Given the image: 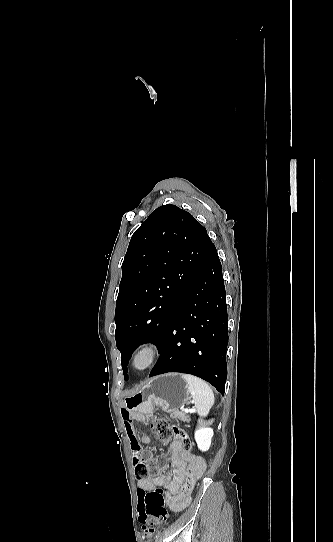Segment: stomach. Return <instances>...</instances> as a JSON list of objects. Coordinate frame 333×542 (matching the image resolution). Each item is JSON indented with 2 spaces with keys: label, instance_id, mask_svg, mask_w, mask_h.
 Segmentation results:
<instances>
[{
  "label": "stomach",
  "instance_id": "obj_1",
  "mask_svg": "<svg viewBox=\"0 0 333 542\" xmlns=\"http://www.w3.org/2000/svg\"><path fill=\"white\" fill-rule=\"evenodd\" d=\"M189 400L188 386L181 374H164L148 380L136 394L126 396L124 404L128 412H139L150 418L155 406L162 408L163 412H178Z\"/></svg>",
  "mask_w": 333,
  "mask_h": 542
}]
</instances>
